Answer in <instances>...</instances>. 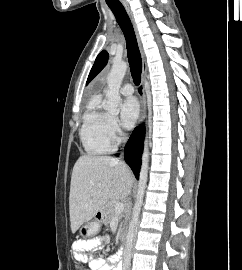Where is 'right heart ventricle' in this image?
<instances>
[{
  "label": "right heart ventricle",
  "mask_w": 242,
  "mask_h": 270,
  "mask_svg": "<svg viewBox=\"0 0 242 270\" xmlns=\"http://www.w3.org/2000/svg\"><path fill=\"white\" fill-rule=\"evenodd\" d=\"M110 117L101 110L100 99L93 98L82 118L80 141L86 153L100 155L114 149V141L109 131Z\"/></svg>",
  "instance_id": "1"
}]
</instances>
